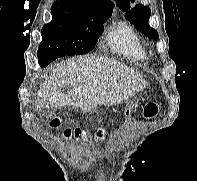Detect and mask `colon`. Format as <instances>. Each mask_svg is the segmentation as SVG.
<instances>
[{
	"label": "colon",
	"instance_id": "obj_1",
	"mask_svg": "<svg viewBox=\"0 0 197 181\" xmlns=\"http://www.w3.org/2000/svg\"><path fill=\"white\" fill-rule=\"evenodd\" d=\"M158 112V105L153 102L147 103L143 108V115L147 119L154 118L155 116H157ZM58 125V120H55L51 123L52 127H57ZM104 134L105 132L103 129H97L94 133V138L102 139L104 137ZM62 135L67 139L75 138L82 142H86L88 140L89 132L86 129L82 128H66L63 130Z\"/></svg>",
	"mask_w": 197,
	"mask_h": 181
}]
</instances>
